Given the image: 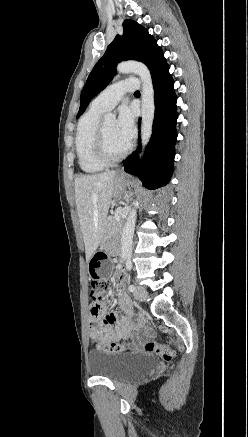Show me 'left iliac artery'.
Segmentation results:
<instances>
[{
	"mask_svg": "<svg viewBox=\"0 0 248 437\" xmlns=\"http://www.w3.org/2000/svg\"><path fill=\"white\" fill-rule=\"evenodd\" d=\"M127 269L130 270L131 269V264L130 262L127 263ZM129 291L133 292L135 290V286L134 285H130L128 287Z\"/></svg>",
	"mask_w": 248,
	"mask_h": 437,
	"instance_id": "left-iliac-artery-1",
	"label": "left iliac artery"
}]
</instances>
